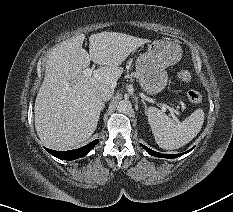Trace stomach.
Segmentation results:
<instances>
[{
	"label": "stomach",
	"instance_id": "obj_1",
	"mask_svg": "<svg viewBox=\"0 0 233 212\" xmlns=\"http://www.w3.org/2000/svg\"><path fill=\"white\" fill-rule=\"evenodd\" d=\"M182 57V48L170 40H155L147 51L136 60V74L141 88L148 94H157L167 85L166 68L176 64Z\"/></svg>",
	"mask_w": 233,
	"mask_h": 212
}]
</instances>
